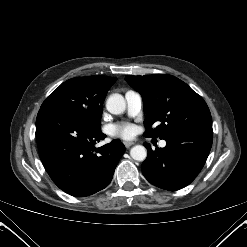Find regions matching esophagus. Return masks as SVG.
<instances>
[{
  "instance_id": "esophagus-1",
  "label": "esophagus",
  "mask_w": 247,
  "mask_h": 247,
  "mask_svg": "<svg viewBox=\"0 0 247 247\" xmlns=\"http://www.w3.org/2000/svg\"><path fill=\"white\" fill-rule=\"evenodd\" d=\"M133 144H134V142H132V141H124V145H125L126 148H129Z\"/></svg>"
}]
</instances>
